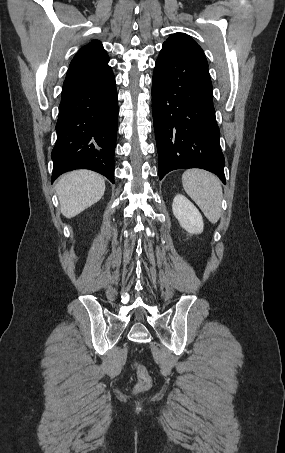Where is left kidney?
<instances>
[{
    "mask_svg": "<svg viewBox=\"0 0 285 453\" xmlns=\"http://www.w3.org/2000/svg\"><path fill=\"white\" fill-rule=\"evenodd\" d=\"M172 211L181 227L190 234L203 232V219L199 210L184 195L177 194L172 203Z\"/></svg>",
    "mask_w": 285,
    "mask_h": 453,
    "instance_id": "obj_1",
    "label": "left kidney"
}]
</instances>
